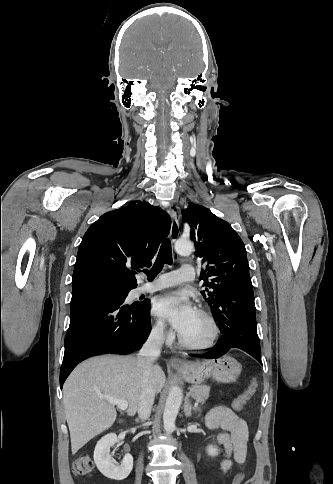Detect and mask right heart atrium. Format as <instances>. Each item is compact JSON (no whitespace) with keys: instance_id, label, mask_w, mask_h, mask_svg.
Wrapping results in <instances>:
<instances>
[{"instance_id":"obj_1","label":"right heart atrium","mask_w":333,"mask_h":484,"mask_svg":"<svg viewBox=\"0 0 333 484\" xmlns=\"http://www.w3.org/2000/svg\"><path fill=\"white\" fill-rule=\"evenodd\" d=\"M152 336L158 341H166L169 338V332L162 320H156L152 327Z\"/></svg>"}]
</instances>
